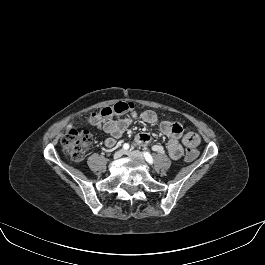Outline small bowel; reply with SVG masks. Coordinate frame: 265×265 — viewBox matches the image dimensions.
<instances>
[{
  "label": "small bowel",
  "instance_id": "small-bowel-1",
  "mask_svg": "<svg viewBox=\"0 0 265 265\" xmlns=\"http://www.w3.org/2000/svg\"><path fill=\"white\" fill-rule=\"evenodd\" d=\"M134 120H141L149 125H158L160 131L168 138L166 149L169 156L178 160L183 154V146L196 147L200 143L198 134L191 131H184L182 125L175 121H160L153 110H145L141 113L131 112L128 116L118 119H108L97 125L104 134L105 146L112 148L117 140L124 134ZM153 141V133L142 132L135 136L134 143L138 146L150 144Z\"/></svg>",
  "mask_w": 265,
  "mask_h": 265
}]
</instances>
